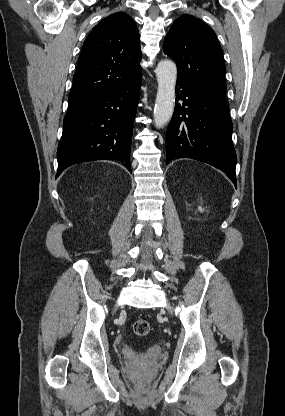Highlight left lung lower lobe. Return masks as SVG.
<instances>
[{
  "label": "left lung lower lobe",
  "instance_id": "obj_1",
  "mask_svg": "<svg viewBox=\"0 0 285 416\" xmlns=\"http://www.w3.org/2000/svg\"><path fill=\"white\" fill-rule=\"evenodd\" d=\"M175 92V110L166 136V162L191 158L208 163L222 170L237 187L233 125L227 101L180 81Z\"/></svg>",
  "mask_w": 285,
  "mask_h": 416
}]
</instances>
